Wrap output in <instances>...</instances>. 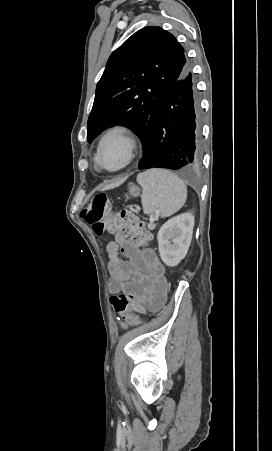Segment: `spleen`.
<instances>
[{
	"instance_id": "1",
	"label": "spleen",
	"mask_w": 272,
	"mask_h": 451,
	"mask_svg": "<svg viewBox=\"0 0 272 451\" xmlns=\"http://www.w3.org/2000/svg\"><path fill=\"white\" fill-rule=\"evenodd\" d=\"M137 182L142 188L144 214L160 212L162 218H168L178 212L187 200V188L183 180L168 170L152 168L138 174Z\"/></svg>"
}]
</instances>
